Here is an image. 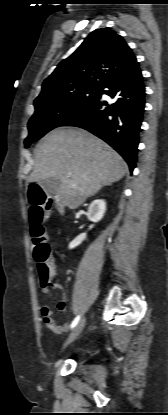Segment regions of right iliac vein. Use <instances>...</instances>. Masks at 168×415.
Instances as JSON below:
<instances>
[{"label":"right iliac vein","instance_id":"1","mask_svg":"<svg viewBox=\"0 0 168 415\" xmlns=\"http://www.w3.org/2000/svg\"><path fill=\"white\" fill-rule=\"evenodd\" d=\"M84 326H85V319H82L69 334L66 342L64 343L63 349L66 348L69 344H71L79 336Z\"/></svg>","mask_w":168,"mask_h":415}]
</instances>
